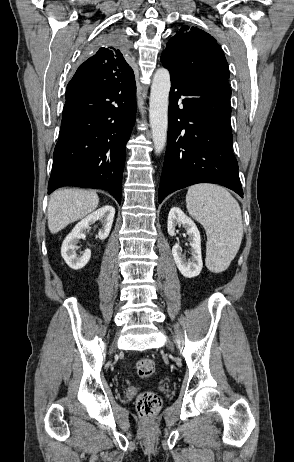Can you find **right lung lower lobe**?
<instances>
[{
    "instance_id": "right-lung-lower-lobe-1",
    "label": "right lung lower lobe",
    "mask_w": 294,
    "mask_h": 462,
    "mask_svg": "<svg viewBox=\"0 0 294 462\" xmlns=\"http://www.w3.org/2000/svg\"><path fill=\"white\" fill-rule=\"evenodd\" d=\"M134 76L89 94L66 91L48 194L62 186L109 191L121 203L126 143L135 123Z\"/></svg>"
}]
</instances>
